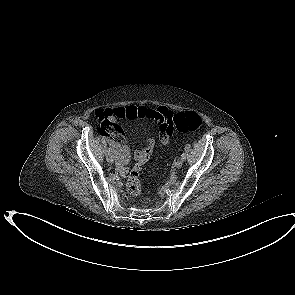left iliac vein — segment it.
<instances>
[{
  "mask_svg": "<svg viewBox=\"0 0 295 295\" xmlns=\"http://www.w3.org/2000/svg\"><path fill=\"white\" fill-rule=\"evenodd\" d=\"M182 165H183V160L182 159H178L176 161V163H175V167L178 168V169L181 168Z\"/></svg>",
  "mask_w": 295,
  "mask_h": 295,
  "instance_id": "1",
  "label": "left iliac vein"
}]
</instances>
